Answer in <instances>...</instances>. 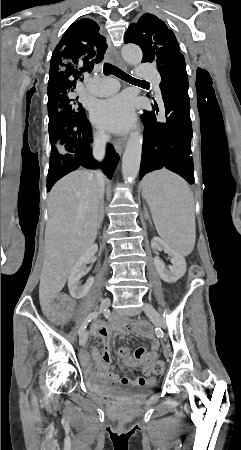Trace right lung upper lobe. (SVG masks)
Segmentation results:
<instances>
[{
    "label": "right lung upper lobe",
    "mask_w": 241,
    "mask_h": 450,
    "mask_svg": "<svg viewBox=\"0 0 241 450\" xmlns=\"http://www.w3.org/2000/svg\"><path fill=\"white\" fill-rule=\"evenodd\" d=\"M106 49V38L95 21L84 18L73 23L51 57L48 100L72 94L84 75L103 60Z\"/></svg>",
    "instance_id": "obj_1"
}]
</instances>
